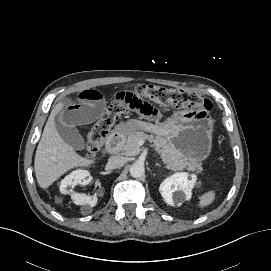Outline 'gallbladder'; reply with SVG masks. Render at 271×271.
I'll list each match as a JSON object with an SVG mask.
<instances>
[{"label":"gallbladder","mask_w":271,"mask_h":271,"mask_svg":"<svg viewBox=\"0 0 271 271\" xmlns=\"http://www.w3.org/2000/svg\"><path fill=\"white\" fill-rule=\"evenodd\" d=\"M56 128L62 139L76 150L85 149V141L75 126H69L63 116H56Z\"/></svg>","instance_id":"obj_1"}]
</instances>
